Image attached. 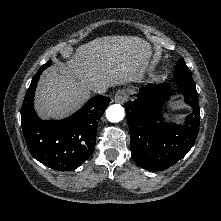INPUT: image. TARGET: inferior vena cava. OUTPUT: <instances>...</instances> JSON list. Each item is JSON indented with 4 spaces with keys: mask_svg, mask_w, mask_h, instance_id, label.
I'll return each mask as SVG.
<instances>
[{
    "mask_svg": "<svg viewBox=\"0 0 221 221\" xmlns=\"http://www.w3.org/2000/svg\"><path fill=\"white\" fill-rule=\"evenodd\" d=\"M106 90L105 89H102V88H98V89H96V93H98V94H102V93H104Z\"/></svg>",
    "mask_w": 221,
    "mask_h": 221,
    "instance_id": "obj_1",
    "label": "inferior vena cava"
}]
</instances>
